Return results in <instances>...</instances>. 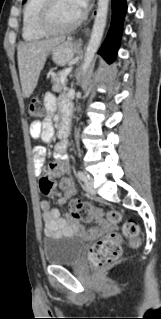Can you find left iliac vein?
Listing matches in <instances>:
<instances>
[{
  "instance_id": "obj_1",
  "label": "left iliac vein",
  "mask_w": 161,
  "mask_h": 319,
  "mask_svg": "<svg viewBox=\"0 0 161 319\" xmlns=\"http://www.w3.org/2000/svg\"><path fill=\"white\" fill-rule=\"evenodd\" d=\"M94 180L92 178H88L85 181V188L90 194H95V189H94Z\"/></svg>"
}]
</instances>
